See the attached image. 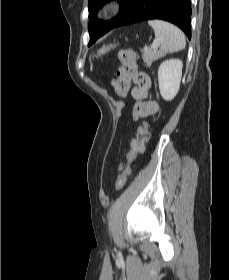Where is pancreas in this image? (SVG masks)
Masks as SVG:
<instances>
[{"mask_svg": "<svg viewBox=\"0 0 229 280\" xmlns=\"http://www.w3.org/2000/svg\"><path fill=\"white\" fill-rule=\"evenodd\" d=\"M161 56L162 54L156 50L144 49L142 51V59L149 67L152 65L153 61L159 59Z\"/></svg>", "mask_w": 229, "mask_h": 280, "instance_id": "obj_1", "label": "pancreas"}]
</instances>
